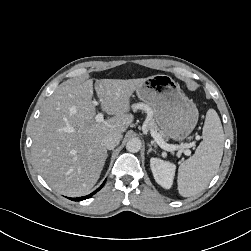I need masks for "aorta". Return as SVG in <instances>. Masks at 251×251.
<instances>
[{"label":"aorta","mask_w":251,"mask_h":251,"mask_svg":"<svg viewBox=\"0 0 251 251\" xmlns=\"http://www.w3.org/2000/svg\"><path fill=\"white\" fill-rule=\"evenodd\" d=\"M142 146L141 140L139 138H130L126 143L127 151L131 153H136L140 151Z\"/></svg>","instance_id":"1"}]
</instances>
